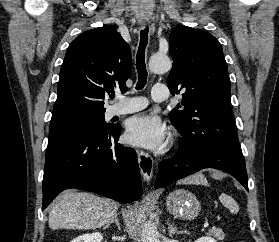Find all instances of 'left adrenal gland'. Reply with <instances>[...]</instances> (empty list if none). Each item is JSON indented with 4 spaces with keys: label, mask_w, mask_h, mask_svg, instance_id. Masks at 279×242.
Returning a JSON list of instances; mask_svg holds the SVG:
<instances>
[{
    "label": "left adrenal gland",
    "mask_w": 279,
    "mask_h": 242,
    "mask_svg": "<svg viewBox=\"0 0 279 242\" xmlns=\"http://www.w3.org/2000/svg\"><path fill=\"white\" fill-rule=\"evenodd\" d=\"M168 233L169 236L172 237L175 233L181 234V233H188L186 230H178L177 227H174L172 223H168Z\"/></svg>",
    "instance_id": "a2214340"
}]
</instances>
